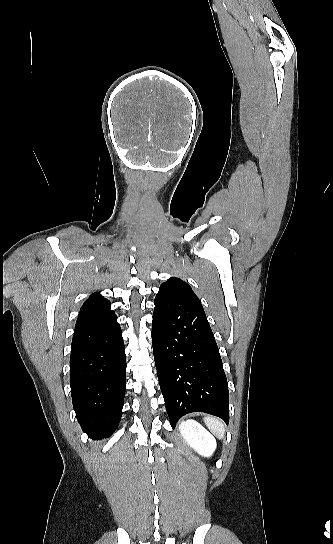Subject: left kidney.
Wrapping results in <instances>:
<instances>
[{"mask_svg":"<svg viewBox=\"0 0 333 544\" xmlns=\"http://www.w3.org/2000/svg\"><path fill=\"white\" fill-rule=\"evenodd\" d=\"M181 435L195 451L204 457H209L215 451L216 439L198 422L187 420L179 426Z\"/></svg>","mask_w":333,"mask_h":544,"instance_id":"1","label":"left kidney"}]
</instances>
